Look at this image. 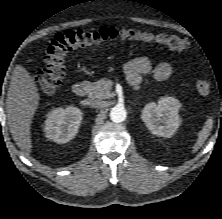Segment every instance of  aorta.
Segmentation results:
<instances>
[{
  "instance_id": "obj_1",
  "label": "aorta",
  "mask_w": 222,
  "mask_h": 219,
  "mask_svg": "<svg viewBox=\"0 0 222 219\" xmlns=\"http://www.w3.org/2000/svg\"><path fill=\"white\" fill-rule=\"evenodd\" d=\"M126 109L123 106L117 105L110 111V118L113 122L120 123L126 119Z\"/></svg>"
}]
</instances>
